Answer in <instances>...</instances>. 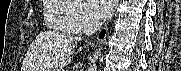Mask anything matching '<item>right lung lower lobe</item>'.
Listing matches in <instances>:
<instances>
[{
  "label": "right lung lower lobe",
  "mask_w": 181,
  "mask_h": 71,
  "mask_svg": "<svg viewBox=\"0 0 181 71\" xmlns=\"http://www.w3.org/2000/svg\"><path fill=\"white\" fill-rule=\"evenodd\" d=\"M104 35H105V30H102L101 33H100V35H99V37H100V38H103Z\"/></svg>",
  "instance_id": "1"
}]
</instances>
